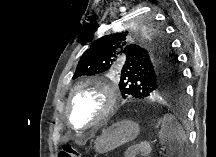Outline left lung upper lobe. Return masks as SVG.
I'll list each match as a JSON object with an SVG mask.
<instances>
[{"label":"left lung upper lobe","instance_id":"1","mask_svg":"<svg viewBox=\"0 0 216 157\" xmlns=\"http://www.w3.org/2000/svg\"><path fill=\"white\" fill-rule=\"evenodd\" d=\"M84 52L73 79L113 70L123 98L181 97L183 75L158 19H127Z\"/></svg>","mask_w":216,"mask_h":157}]
</instances>
